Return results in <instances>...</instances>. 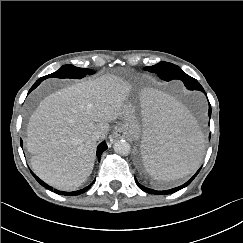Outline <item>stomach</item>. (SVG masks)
Masks as SVG:
<instances>
[{
	"label": "stomach",
	"instance_id": "0dacf381",
	"mask_svg": "<svg viewBox=\"0 0 243 243\" xmlns=\"http://www.w3.org/2000/svg\"><path fill=\"white\" fill-rule=\"evenodd\" d=\"M123 115H124V121L121 124V129L123 133L127 137H130L132 139H138L140 123L134 116L131 105L128 104L126 105Z\"/></svg>",
	"mask_w": 243,
	"mask_h": 243
}]
</instances>
